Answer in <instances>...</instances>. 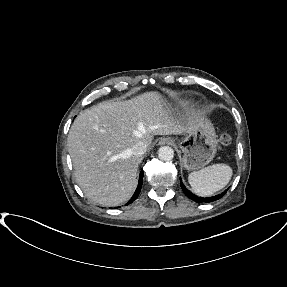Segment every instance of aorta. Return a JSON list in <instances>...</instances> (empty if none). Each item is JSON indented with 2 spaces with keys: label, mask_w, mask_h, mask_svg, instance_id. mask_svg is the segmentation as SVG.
Here are the masks:
<instances>
[{
  "label": "aorta",
  "mask_w": 287,
  "mask_h": 287,
  "mask_svg": "<svg viewBox=\"0 0 287 287\" xmlns=\"http://www.w3.org/2000/svg\"><path fill=\"white\" fill-rule=\"evenodd\" d=\"M158 157L162 161H171L174 157V150L169 146H162L158 150Z\"/></svg>",
  "instance_id": "obj_1"
}]
</instances>
